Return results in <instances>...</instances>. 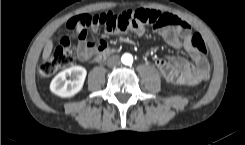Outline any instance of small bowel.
Instances as JSON below:
<instances>
[{"label":"small bowel","instance_id":"1","mask_svg":"<svg viewBox=\"0 0 245 145\" xmlns=\"http://www.w3.org/2000/svg\"><path fill=\"white\" fill-rule=\"evenodd\" d=\"M86 28L85 25L77 26V31L82 32ZM92 31H97V26H92ZM139 35L145 33L143 27L136 29ZM160 39L175 49H185L192 59L188 61L184 57H172L169 62L164 59H158L155 62L157 70L162 77L169 83L197 85L209 77L208 62L204 55L199 53L192 45V31L190 25L186 21H180L176 31L170 28H161L157 31ZM107 48V42L103 39L97 41L93 48L88 47L85 43H81V50L78 58L81 61L90 59L92 53H99Z\"/></svg>","mask_w":245,"mask_h":145}]
</instances>
